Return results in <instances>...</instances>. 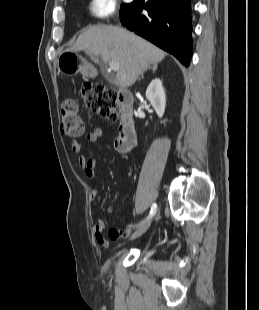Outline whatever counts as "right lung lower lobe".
Here are the masks:
<instances>
[{"label": "right lung lower lobe", "instance_id": "right-lung-lower-lobe-1", "mask_svg": "<svg viewBox=\"0 0 259 310\" xmlns=\"http://www.w3.org/2000/svg\"><path fill=\"white\" fill-rule=\"evenodd\" d=\"M190 0H135L120 14L124 26L173 54L184 66L192 55ZM148 15H141L142 9Z\"/></svg>", "mask_w": 259, "mask_h": 310}]
</instances>
